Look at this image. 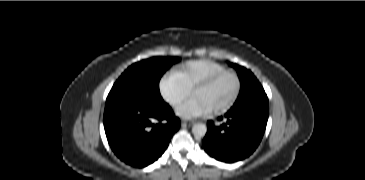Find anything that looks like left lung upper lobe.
<instances>
[{"label":"left lung upper lobe","mask_w":365,"mask_h":180,"mask_svg":"<svg viewBox=\"0 0 365 180\" xmlns=\"http://www.w3.org/2000/svg\"><path fill=\"white\" fill-rule=\"evenodd\" d=\"M231 66H233V64H231ZM234 67L237 70L241 82L240 94L237 100L246 99L256 94L265 93L263 87L256 77L251 73V71L236 64Z\"/></svg>","instance_id":"left-lung-upper-lobe-1"}]
</instances>
